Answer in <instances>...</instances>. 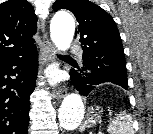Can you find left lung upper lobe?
<instances>
[{
	"label": "left lung upper lobe",
	"instance_id": "5c2ea615",
	"mask_svg": "<svg viewBox=\"0 0 153 134\" xmlns=\"http://www.w3.org/2000/svg\"><path fill=\"white\" fill-rule=\"evenodd\" d=\"M70 10L76 17L83 53L82 69L119 86L127 85L125 54L113 18L88 0H56L53 10Z\"/></svg>",
	"mask_w": 153,
	"mask_h": 134
}]
</instances>
